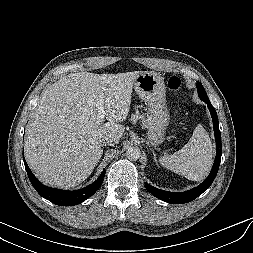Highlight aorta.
Segmentation results:
<instances>
[{
    "label": "aorta",
    "mask_w": 253,
    "mask_h": 253,
    "mask_svg": "<svg viewBox=\"0 0 253 253\" xmlns=\"http://www.w3.org/2000/svg\"><path fill=\"white\" fill-rule=\"evenodd\" d=\"M141 151L138 147L130 146L126 150V157L131 161H136L140 158Z\"/></svg>",
    "instance_id": "1"
}]
</instances>
